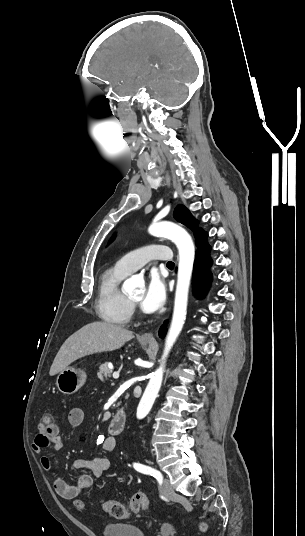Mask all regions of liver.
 <instances>
[{"label": "liver", "instance_id": "obj_1", "mask_svg": "<svg viewBox=\"0 0 305 536\" xmlns=\"http://www.w3.org/2000/svg\"><path fill=\"white\" fill-rule=\"evenodd\" d=\"M134 332H129L116 324H108V322H93L83 326L81 330L72 334L63 346H61L51 368L50 376L59 374L62 370H66L69 364L97 354V352H112L119 350L124 346L125 342H129L134 338Z\"/></svg>", "mask_w": 305, "mask_h": 536}]
</instances>
